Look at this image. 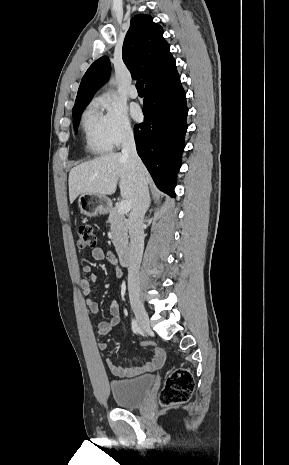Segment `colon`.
Wrapping results in <instances>:
<instances>
[{
    "instance_id": "obj_1",
    "label": "colon",
    "mask_w": 289,
    "mask_h": 465,
    "mask_svg": "<svg viewBox=\"0 0 289 465\" xmlns=\"http://www.w3.org/2000/svg\"><path fill=\"white\" fill-rule=\"evenodd\" d=\"M97 237L92 226L81 225L77 229V246L80 249L94 248ZM194 390V378L190 371L184 368L171 372L159 393L162 406H174L189 400Z\"/></svg>"
}]
</instances>
